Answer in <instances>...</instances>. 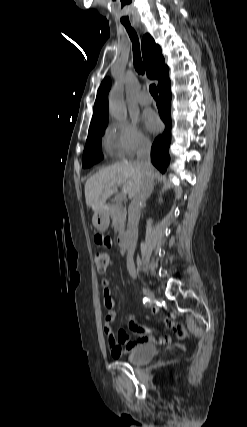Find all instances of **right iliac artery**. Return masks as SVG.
Returning a JSON list of instances; mask_svg holds the SVG:
<instances>
[{"instance_id": "obj_1", "label": "right iliac artery", "mask_w": 247, "mask_h": 427, "mask_svg": "<svg viewBox=\"0 0 247 427\" xmlns=\"http://www.w3.org/2000/svg\"><path fill=\"white\" fill-rule=\"evenodd\" d=\"M143 304H144L146 307L150 306V300H149L148 298H144V299H143Z\"/></svg>"}]
</instances>
